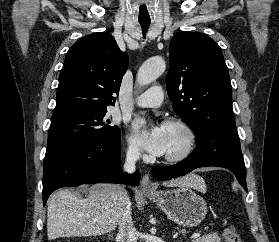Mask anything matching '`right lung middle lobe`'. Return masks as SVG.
Wrapping results in <instances>:
<instances>
[{
  "mask_svg": "<svg viewBox=\"0 0 279 242\" xmlns=\"http://www.w3.org/2000/svg\"><path fill=\"white\" fill-rule=\"evenodd\" d=\"M106 113L107 110L78 109L53 114L45 156L74 146L119 138V128L109 125Z\"/></svg>",
  "mask_w": 279,
  "mask_h": 242,
  "instance_id": "obj_1",
  "label": "right lung middle lobe"
}]
</instances>
